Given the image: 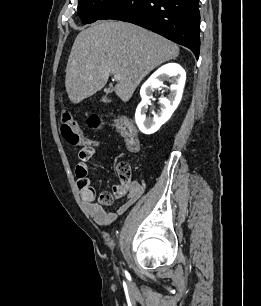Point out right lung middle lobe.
Segmentation results:
<instances>
[{"mask_svg":"<svg viewBox=\"0 0 261 306\" xmlns=\"http://www.w3.org/2000/svg\"><path fill=\"white\" fill-rule=\"evenodd\" d=\"M118 0H79L78 16L84 24L93 23Z\"/></svg>","mask_w":261,"mask_h":306,"instance_id":"dd1d6c3e","label":"right lung middle lobe"}]
</instances>
